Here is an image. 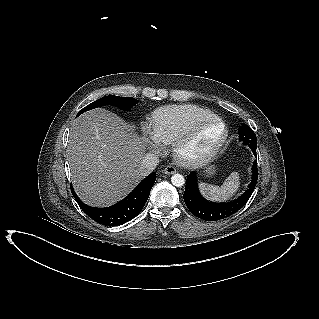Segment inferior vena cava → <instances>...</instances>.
I'll use <instances>...</instances> for the list:
<instances>
[{
  "label": "inferior vena cava",
  "instance_id": "obj_1",
  "mask_svg": "<svg viewBox=\"0 0 319 319\" xmlns=\"http://www.w3.org/2000/svg\"><path fill=\"white\" fill-rule=\"evenodd\" d=\"M158 163L159 158L156 155L147 153L141 162L140 171L144 173H150L156 168Z\"/></svg>",
  "mask_w": 319,
  "mask_h": 319
}]
</instances>
